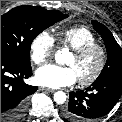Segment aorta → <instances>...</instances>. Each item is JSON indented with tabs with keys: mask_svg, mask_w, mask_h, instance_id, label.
Here are the masks:
<instances>
[{
	"mask_svg": "<svg viewBox=\"0 0 122 122\" xmlns=\"http://www.w3.org/2000/svg\"><path fill=\"white\" fill-rule=\"evenodd\" d=\"M66 52L65 49H62V50H58L55 54V59L57 62H60L63 54ZM54 101L57 103V104H63L65 103L66 101V94L63 92V91H57L55 94H54Z\"/></svg>",
	"mask_w": 122,
	"mask_h": 122,
	"instance_id": "1",
	"label": "aorta"
}]
</instances>
